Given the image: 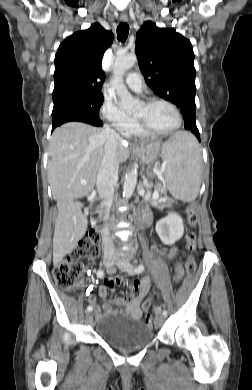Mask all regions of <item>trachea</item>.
<instances>
[{"mask_svg": "<svg viewBox=\"0 0 252 390\" xmlns=\"http://www.w3.org/2000/svg\"><path fill=\"white\" fill-rule=\"evenodd\" d=\"M129 33V26L127 23H120L117 27V38L120 42H125Z\"/></svg>", "mask_w": 252, "mask_h": 390, "instance_id": "1", "label": "trachea"}]
</instances>
